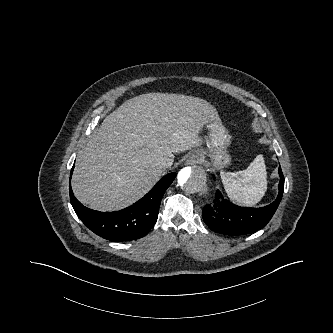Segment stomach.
<instances>
[{
    "label": "stomach",
    "instance_id": "obj_1",
    "mask_svg": "<svg viewBox=\"0 0 333 333\" xmlns=\"http://www.w3.org/2000/svg\"><path fill=\"white\" fill-rule=\"evenodd\" d=\"M209 130L208 149L203 150L202 153L208 154L214 167L220 169L231 161L230 155L226 151V147L231 141V136L220 121L214 123Z\"/></svg>",
    "mask_w": 333,
    "mask_h": 333
}]
</instances>
